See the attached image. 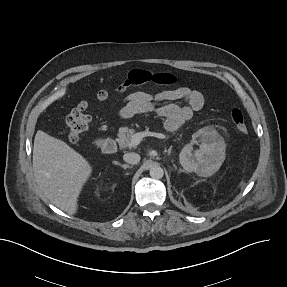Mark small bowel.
Here are the masks:
<instances>
[{
    "label": "small bowel",
    "instance_id": "c3829d8e",
    "mask_svg": "<svg viewBox=\"0 0 287 287\" xmlns=\"http://www.w3.org/2000/svg\"><path fill=\"white\" fill-rule=\"evenodd\" d=\"M181 102L184 104H180ZM204 103L203 94L188 87L156 93L135 91L125 98L119 115L126 119L140 113H154L165 120L167 130L176 131L190 120L195 112L201 110Z\"/></svg>",
    "mask_w": 287,
    "mask_h": 287
}]
</instances>
